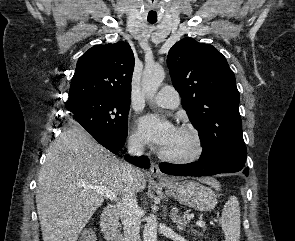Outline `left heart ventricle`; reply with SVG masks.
I'll return each instance as SVG.
<instances>
[{"label":"left heart ventricle","mask_w":295,"mask_h":241,"mask_svg":"<svg viewBox=\"0 0 295 241\" xmlns=\"http://www.w3.org/2000/svg\"><path fill=\"white\" fill-rule=\"evenodd\" d=\"M194 149V142L190 134L178 130L173 141L163 149L164 152L171 155H186Z\"/></svg>","instance_id":"1"}]
</instances>
